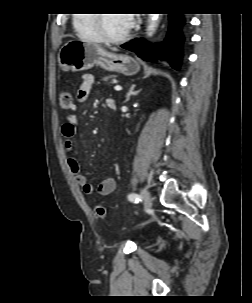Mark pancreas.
I'll use <instances>...</instances> for the list:
<instances>
[{
    "label": "pancreas",
    "mask_w": 252,
    "mask_h": 303,
    "mask_svg": "<svg viewBox=\"0 0 252 303\" xmlns=\"http://www.w3.org/2000/svg\"><path fill=\"white\" fill-rule=\"evenodd\" d=\"M112 78H114V76H112V75H108V76H105V77H103V81H109L110 79H112Z\"/></svg>",
    "instance_id": "1"
}]
</instances>
